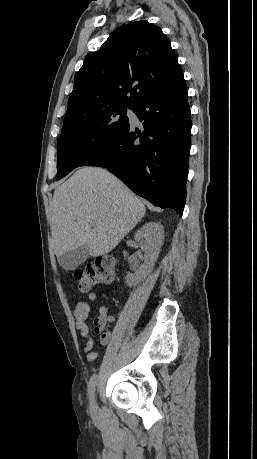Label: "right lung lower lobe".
Returning a JSON list of instances; mask_svg holds the SVG:
<instances>
[{
    "instance_id": "1",
    "label": "right lung lower lobe",
    "mask_w": 257,
    "mask_h": 459,
    "mask_svg": "<svg viewBox=\"0 0 257 459\" xmlns=\"http://www.w3.org/2000/svg\"><path fill=\"white\" fill-rule=\"evenodd\" d=\"M183 73L135 107L142 128L129 127L105 150L80 166H100L155 206L182 216L190 150L191 118Z\"/></svg>"
}]
</instances>
